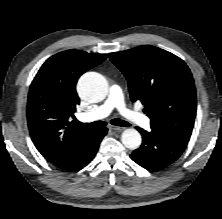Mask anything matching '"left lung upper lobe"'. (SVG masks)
I'll list each match as a JSON object with an SVG mask.
<instances>
[{"mask_svg":"<svg viewBox=\"0 0 222 219\" xmlns=\"http://www.w3.org/2000/svg\"><path fill=\"white\" fill-rule=\"evenodd\" d=\"M128 80L132 102L145 105L151 127L189 141L196 115V91L186 63L163 49L144 45L109 54Z\"/></svg>","mask_w":222,"mask_h":219,"instance_id":"obj_1","label":"left lung upper lobe"}]
</instances>
